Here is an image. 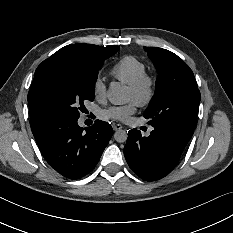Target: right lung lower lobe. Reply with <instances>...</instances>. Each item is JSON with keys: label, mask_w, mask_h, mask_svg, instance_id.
I'll return each mask as SVG.
<instances>
[{"label": "right lung lower lobe", "mask_w": 233, "mask_h": 233, "mask_svg": "<svg viewBox=\"0 0 233 233\" xmlns=\"http://www.w3.org/2000/svg\"><path fill=\"white\" fill-rule=\"evenodd\" d=\"M78 118L50 120L31 126L39 149L58 173L79 179L93 170L113 135L109 123L96 120L81 128Z\"/></svg>", "instance_id": "98d812e1"}]
</instances>
